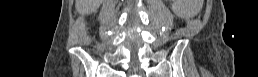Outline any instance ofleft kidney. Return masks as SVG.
<instances>
[{
  "label": "left kidney",
  "mask_w": 258,
  "mask_h": 77,
  "mask_svg": "<svg viewBox=\"0 0 258 77\" xmlns=\"http://www.w3.org/2000/svg\"><path fill=\"white\" fill-rule=\"evenodd\" d=\"M174 2L176 5L174 6L173 11L177 16L181 18L193 16L194 10L190 6L189 0H175Z\"/></svg>",
  "instance_id": "left-kidney-1"
}]
</instances>
